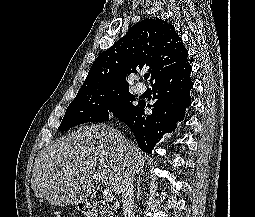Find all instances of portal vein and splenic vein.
Masks as SVG:
<instances>
[{
	"label": "portal vein and splenic vein",
	"mask_w": 255,
	"mask_h": 217,
	"mask_svg": "<svg viewBox=\"0 0 255 217\" xmlns=\"http://www.w3.org/2000/svg\"><path fill=\"white\" fill-rule=\"evenodd\" d=\"M71 174H72L71 171L67 172V175H71ZM94 178H95L97 181H99V182H101V183H104V180H103V178H102L100 175H95ZM103 198H104V200H105L106 202H112L114 196H113V192H112V190H111L110 188L104 189Z\"/></svg>",
	"instance_id": "18ae733b"
}]
</instances>
